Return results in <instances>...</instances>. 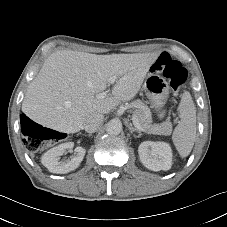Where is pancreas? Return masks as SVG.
Returning <instances> with one entry per match:
<instances>
[{
  "instance_id": "obj_1",
  "label": "pancreas",
  "mask_w": 227,
  "mask_h": 227,
  "mask_svg": "<svg viewBox=\"0 0 227 227\" xmlns=\"http://www.w3.org/2000/svg\"><path fill=\"white\" fill-rule=\"evenodd\" d=\"M131 107L134 109V115L137 117L140 125L146 129V132L166 136L171 134L172 126L170 123L152 124L151 111L141 100L133 101Z\"/></svg>"
}]
</instances>
